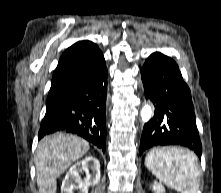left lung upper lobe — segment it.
Masks as SVG:
<instances>
[{
    "label": "left lung upper lobe",
    "mask_w": 221,
    "mask_h": 193,
    "mask_svg": "<svg viewBox=\"0 0 221 193\" xmlns=\"http://www.w3.org/2000/svg\"><path fill=\"white\" fill-rule=\"evenodd\" d=\"M163 117L166 124L170 127H173L176 123V115L172 108L168 107L163 111Z\"/></svg>",
    "instance_id": "1"
}]
</instances>
